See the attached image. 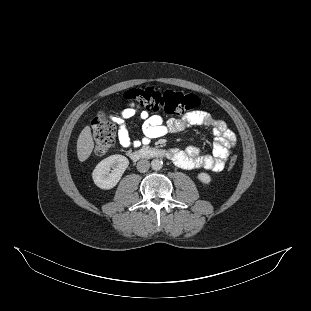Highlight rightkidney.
Returning <instances> with one entry per match:
<instances>
[{"label": "right kidney", "mask_w": 311, "mask_h": 311, "mask_svg": "<svg viewBox=\"0 0 311 311\" xmlns=\"http://www.w3.org/2000/svg\"><path fill=\"white\" fill-rule=\"evenodd\" d=\"M128 165L129 160L125 156L111 155L95 167L92 173L93 181L101 189H111L119 182Z\"/></svg>", "instance_id": "1"}]
</instances>
